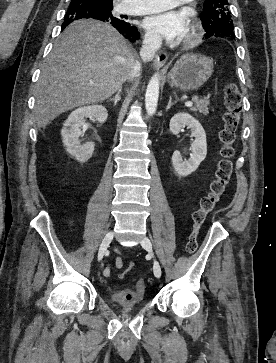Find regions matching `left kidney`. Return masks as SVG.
<instances>
[{
	"mask_svg": "<svg viewBox=\"0 0 276 363\" xmlns=\"http://www.w3.org/2000/svg\"><path fill=\"white\" fill-rule=\"evenodd\" d=\"M186 126L191 130L195 141L187 161L182 159L179 151H175L172 155V165L180 177H186L196 171L207 155L206 133L198 120L188 113H177L171 118L169 124L170 132L174 135H178Z\"/></svg>",
	"mask_w": 276,
	"mask_h": 363,
	"instance_id": "left-kidney-1",
	"label": "left kidney"
}]
</instances>
